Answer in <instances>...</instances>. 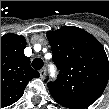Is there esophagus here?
I'll list each match as a JSON object with an SVG mask.
<instances>
[{"mask_svg": "<svg viewBox=\"0 0 109 109\" xmlns=\"http://www.w3.org/2000/svg\"><path fill=\"white\" fill-rule=\"evenodd\" d=\"M39 74H40V78H44L45 75H46V69H45V68L41 69V70L39 71Z\"/></svg>", "mask_w": 109, "mask_h": 109, "instance_id": "esophagus-1", "label": "esophagus"}]
</instances>
